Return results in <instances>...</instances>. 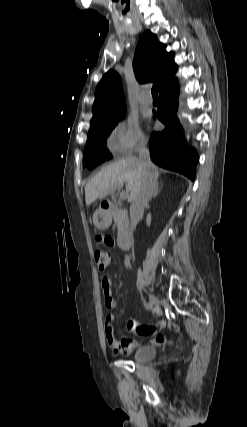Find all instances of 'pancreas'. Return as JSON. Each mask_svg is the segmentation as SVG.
Returning a JSON list of instances; mask_svg holds the SVG:
<instances>
[{
    "label": "pancreas",
    "mask_w": 247,
    "mask_h": 427,
    "mask_svg": "<svg viewBox=\"0 0 247 427\" xmlns=\"http://www.w3.org/2000/svg\"><path fill=\"white\" fill-rule=\"evenodd\" d=\"M111 216L117 225L118 235H124L127 232L129 226L127 211L121 207L120 203H116L111 211Z\"/></svg>",
    "instance_id": "obj_1"
}]
</instances>
